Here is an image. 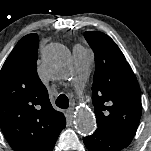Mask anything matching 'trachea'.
Here are the masks:
<instances>
[{"label": "trachea", "mask_w": 151, "mask_h": 151, "mask_svg": "<svg viewBox=\"0 0 151 151\" xmlns=\"http://www.w3.org/2000/svg\"><path fill=\"white\" fill-rule=\"evenodd\" d=\"M56 105L59 108L67 109L69 107V99L65 94H60L56 99Z\"/></svg>", "instance_id": "obj_1"}]
</instances>
